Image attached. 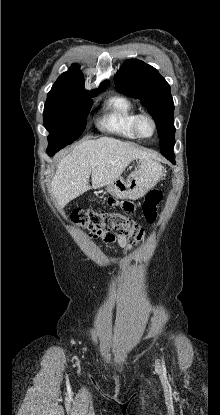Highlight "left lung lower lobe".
I'll return each instance as SVG.
<instances>
[{"label": "left lung lower lobe", "mask_w": 220, "mask_h": 415, "mask_svg": "<svg viewBox=\"0 0 220 415\" xmlns=\"http://www.w3.org/2000/svg\"><path fill=\"white\" fill-rule=\"evenodd\" d=\"M164 156L169 159L173 164H175V155L174 154H164Z\"/></svg>", "instance_id": "left-lung-lower-lobe-1"}]
</instances>
